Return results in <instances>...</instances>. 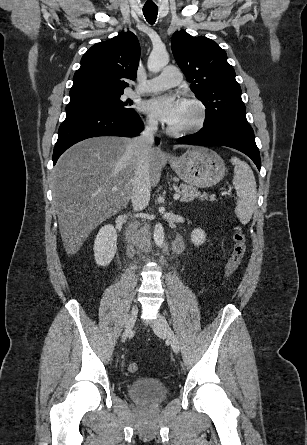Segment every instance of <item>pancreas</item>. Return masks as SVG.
I'll list each match as a JSON object with an SVG mask.
<instances>
[{"mask_svg":"<svg viewBox=\"0 0 307 445\" xmlns=\"http://www.w3.org/2000/svg\"><path fill=\"white\" fill-rule=\"evenodd\" d=\"M179 188H181L180 194H182L180 200H184V202H189V200H194V198H200V200H207V198H209L211 202L212 200H216L215 194H210V196H208L206 192L201 194L198 188L190 186V184H180Z\"/></svg>","mask_w":307,"mask_h":445,"instance_id":"obj_1","label":"pancreas"}]
</instances>
